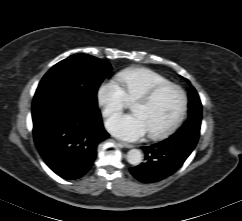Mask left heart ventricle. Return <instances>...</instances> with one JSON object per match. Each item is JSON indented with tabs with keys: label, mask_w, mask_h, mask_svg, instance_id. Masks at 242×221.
I'll list each match as a JSON object with an SVG mask.
<instances>
[{
	"label": "left heart ventricle",
	"mask_w": 242,
	"mask_h": 221,
	"mask_svg": "<svg viewBox=\"0 0 242 221\" xmlns=\"http://www.w3.org/2000/svg\"><path fill=\"white\" fill-rule=\"evenodd\" d=\"M181 106V96L175 89H167L150 104L134 103L132 111L139 115L148 133L166 128L177 116Z\"/></svg>",
	"instance_id": "1"
}]
</instances>
